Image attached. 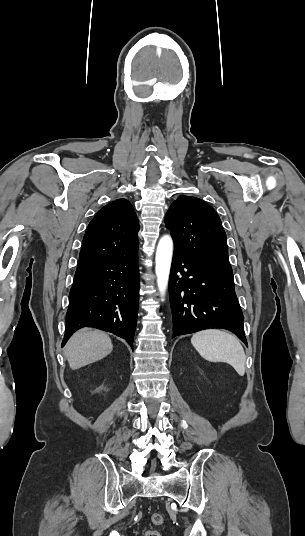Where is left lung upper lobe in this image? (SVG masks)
I'll use <instances>...</instances> for the list:
<instances>
[{"mask_svg": "<svg viewBox=\"0 0 305 536\" xmlns=\"http://www.w3.org/2000/svg\"><path fill=\"white\" fill-rule=\"evenodd\" d=\"M165 224L171 231L174 250L197 260L231 267L221 220L202 199L178 197L165 216Z\"/></svg>", "mask_w": 305, "mask_h": 536, "instance_id": "left-lung-upper-lobe-1", "label": "left lung upper lobe"}]
</instances>
